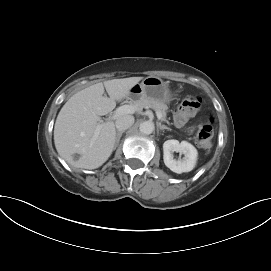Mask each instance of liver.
I'll return each instance as SVG.
<instances>
[{"label":"liver","mask_w":271,"mask_h":271,"mask_svg":"<svg viewBox=\"0 0 271 271\" xmlns=\"http://www.w3.org/2000/svg\"><path fill=\"white\" fill-rule=\"evenodd\" d=\"M143 77L107 80L75 93L61 108L54 126L58 154L76 168L96 169L103 165L114 149L115 124L101 123L100 116L116 107V101L128 97L131 88ZM105 89L109 97L104 96ZM99 133L95 136L97 128ZM79 154L78 160L73 159Z\"/></svg>","instance_id":"6515ba94"}]
</instances>
